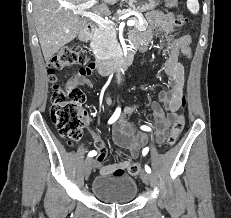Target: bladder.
Returning a JSON list of instances; mask_svg holds the SVG:
<instances>
[{"mask_svg": "<svg viewBox=\"0 0 231 218\" xmlns=\"http://www.w3.org/2000/svg\"><path fill=\"white\" fill-rule=\"evenodd\" d=\"M92 192L105 203H128L137 194V183L127 175H100L93 180Z\"/></svg>", "mask_w": 231, "mask_h": 218, "instance_id": "1", "label": "bladder"}]
</instances>
